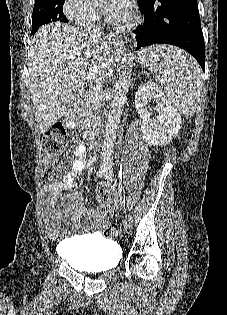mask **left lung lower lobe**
I'll list each match as a JSON object with an SVG mask.
<instances>
[{"label":"left lung lower lobe","mask_w":227,"mask_h":315,"mask_svg":"<svg viewBox=\"0 0 227 315\" xmlns=\"http://www.w3.org/2000/svg\"><path fill=\"white\" fill-rule=\"evenodd\" d=\"M144 23L134 30L137 50L153 44L178 46L205 71V46L197 0H149L139 4Z\"/></svg>","instance_id":"1"}]
</instances>
